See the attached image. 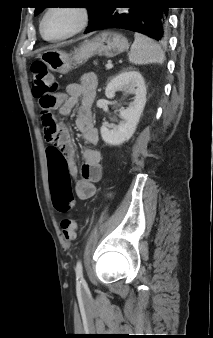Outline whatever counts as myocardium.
<instances>
[{
	"label": "myocardium",
	"mask_w": 213,
	"mask_h": 338,
	"mask_svg": "<svg viewBox=\"0 0 213 338\" xmlns=\"http://www.w3.org/2000/svg\"><path fill=\"white\" fill-rule=\"evenodd\" d=\"M64 8L74 10L78 14V16H79L78 24L76 25V27L73 30H71L70 32H68V33H66L62 36L54 37V38L46 37L45 34H44V23H45L47 16L52 11H54L56 9H61L59 7L48 8L46 10V12L43 14L41 21H40V34L45 41L58 42V41H62V40L71 38V37L79 34L80 32H82L88 26L89 19H90V13H89V11L86 7L72 6V5L70 6L69 5V6H65Z\"/></svg>",
	"instance_id": "obj_1"
}]
</instances>
